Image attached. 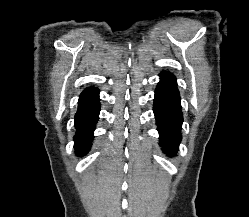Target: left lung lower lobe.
I'll use <instances>...</instances> for the list:
<instances>
[{
    "mask_svg": "<svg viewBox=\"0 0 249 217\" xmlns=\"http://www.w3.org/2000/svg\"><path fill=\"white\" fill-rule=\"evenodd\" d=\"M160 82L155 90L154 114L160 146L168 155H175L181 141L183 116L176 78L169 72L160 74Z\"/></svg>",
    "mask_w": 249,
    "mask_h": 217,
    "instance_id": "obj_1",
    "label": "left lung lower lobe"
}]
</instances>
